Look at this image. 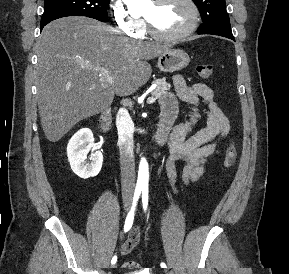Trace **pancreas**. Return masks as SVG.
Wrapping results in <instances>:
<instances>
[{"instance_id":"cf45deb5","label":"pancreas","mask_w":289,"mask_h":274,"mask_svg":"<svg viewBox=\"0 0 289 274\" xmlns=\"http://www.w3.org/2000/svg\"><path fill=\"white\" fill-rule=\"evenodd\" d=\"M153 83L157 85L156 88L152 91V96L156 98L162 97L170 90V85L166 82L165 78L156 79Z\"/></svg>"}]
</instances>
